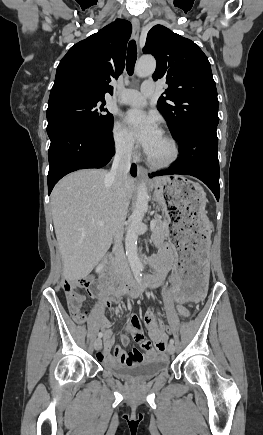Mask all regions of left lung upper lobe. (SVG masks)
Returning <instances> with one entry per match:
<instances>
[{
	"label": "left lung upper lobe",
	"instance_id": "left-lung-upper-lobe-1",
	"mask_svg": "<svg viewBox=\"0 0 263 435\" xmlns=\"http://www.w3.org/2000/svg\"><path fill=\"white\" fill-rule=\"evenodd\" d=\"M143 53L156 58L153 79H166L168 84L158 109L175 138L192 127L218 125L216 85L208 58L198 45L156 25L147 34Z\"/></svg>",
	"mask_w": 263,
	"mask_h": 435
}]
</instances>
